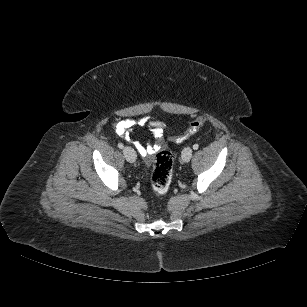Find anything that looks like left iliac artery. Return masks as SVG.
Instances as JSON below:
<instances>
[{
    "mask_svg": "<svg viewBox=\"0 0 307 307\" xmlns=\"http://www.w3.org/2000/svg\"><path fill=\"white\" fill-rule=\"evenodd\" d=\"M198 148H199V145H198V144H194V145H193V149H194V150H197Z\"/></svg>",
    "mask_w": 307,
    "mask_h": 307,
    "instance_id": "left-iliac-artery-1",
    "label": "left iliac artery"
}]
</instances>
